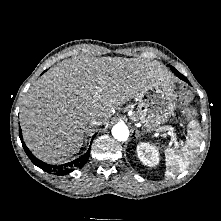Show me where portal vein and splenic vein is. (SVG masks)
<instances>
[{"label":"portal vein and splenic vein","mask_w":221,"mask_h":221,"mask_svg":"<svg viewBox=\"0 0 221 221\" xmlns=\"http://www.w3.org/2000/svg\"><path fill=\"white\" fill-rule=\"evenodd\" d=\"M167 134H168L169 136H171V138H172L173 140L176 139V135H175V133H173L172 131H169ZM161 136L165 137L166 134H161Z\"/></svg>","instance_id":"18ae733b"}]
</instances>
